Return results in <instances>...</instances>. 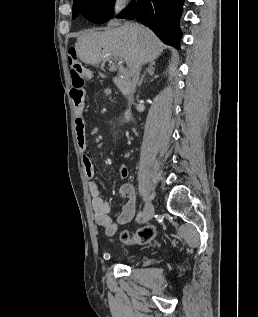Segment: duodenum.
Instances as JSON below:
<instances>
[{"mask_svg":"<svg viewBox=\"0 0 258 317\" xmlns=\"http://www.w3.org/2000/svg\"><path fill=\"white\" fill-rule=\"evenodd\" d=\"M70 95H71L72 102L76 107L79 108L84 104L85 90L83 86L74 84Z\"/></svg>","mask_w":258,"mask_h":317,"instance_id":"obj_1","label":"duodenum"}]
</instances>
